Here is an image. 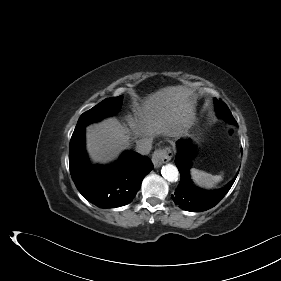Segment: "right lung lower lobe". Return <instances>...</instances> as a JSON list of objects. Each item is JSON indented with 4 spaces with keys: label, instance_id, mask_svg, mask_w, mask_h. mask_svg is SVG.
Listing matches in <instances>:
<instances>
[{
    "label": "right lung lower lobe",
    "instance_id": "1",
    "mask_svg": "<svg viewBox=\"0 0 281 281\" xmlns=\"http://www.w3.org/2000/svg\"><path fill=\"white\" fill-rule=\"evenodd\" d=\"M85 127L75 129L70 141L69 168L79 192L99 208H115L130 203L152 162L136 152H125L109 166L91 165L85 152Z\"/></svg>",
    "mask_w": 281,
    "mask_h": 281
}]
</instances>
